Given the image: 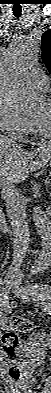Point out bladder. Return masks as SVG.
<instances>
[{
  "mask_svg": "<svg viewBox=\"0 0 51 393\" xmlns=\"http://www.w3.org/2000/svg\"><path fill=\"white\" fill-rule=\"evenodd\" d=\"M45 370H46V366H42V367L35 369L33 374L35 376H40L45 373Z\"/></svg>",
  "mask_w": 51,
  "mask_h": 393,
  "instance_id": "31cf9c89",
  "label": "bladder"
}]
</instances>
